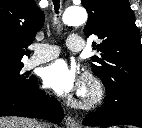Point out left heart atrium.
I'll list each match as a JSON object with an SVG mask.
<instances>
[{
  "mask_svg": "<svg viewBox=\"0 0 142 128\" xmlns=\"http://www.w3.org/2000/svg\"><path fill=\"white\" fill-rule=\"evenodd\" d=\"M44 84L59 95H67L79 87V79L73 67L64 60H57L43 71Z\"/></svg>",
  "mask_w": 142,
  "mask_h": 128,
  "instance_id": "obj_1",
  "label": "left heart atrium"
}]
</instances>
